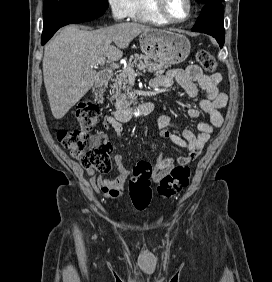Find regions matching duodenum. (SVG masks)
Wrapping results in <instances>:
<instances>
[{
	"label": "duodenum",
	"mask_w": 272,
	"mask_h": 282,
	"mask_svg": "<svg viewBox=\"0 0 272 282\" xmlns=\"http://www.w3.org/2000/svg\"><path fill=\"white\" fill-rule=\"evenodd\" d=\"M111 77H112V73L110 71L106 70V71H102L101 73H99L98 80L100 81L101 86L107 83L111 79ZM96 91H99V87H96ZM154 106L155 105L153 102H146L142 104V107L146 109H153ZM131 110H132L131 102L128 99H125L120 102V107L118 110L114 112V117L117 120H124L127 118V115L128 113L131 112Z\"/></svg>",
	"instance_id": "1"
}]
</instances>
